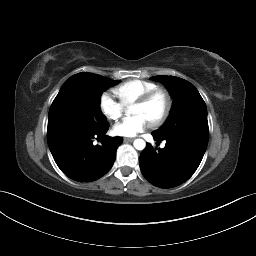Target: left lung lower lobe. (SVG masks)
I'll return each instance as SVG.
<instances>
[{"mask_svg":"<svg viewBox=\"0 0 256 256\" xmlns=\"http://www.w3.org/2000/svg\"><path fill=\"white\" fill-rule=\"evenodd\" d=\"M152 135L156 141L166 140V146L155 150L147 143L139 157L144 177L160 188L176 187L187 181L198 168L207 144L183 136L161 139Z\"/></svg>","mask_w":256,"mask_h":256,"instance_id":"0a47b994","label":"left lung lower lobe"}]
</instances>
